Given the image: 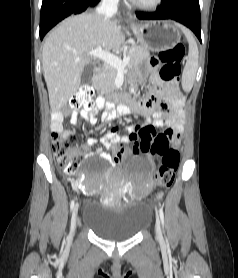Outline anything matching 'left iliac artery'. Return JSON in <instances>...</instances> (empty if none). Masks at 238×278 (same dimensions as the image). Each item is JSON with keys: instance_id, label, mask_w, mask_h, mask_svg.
Returning a JSON list of instances; mask_svg holds the SVG:
<instances>
[{"instance_id": "obj_1", "label": "left iliac artery", "mask_w": 238, "mask_h": 278, "mask_svg": "<svg viewBox=\"0 0 238 278\" xmlns=\"http://www.w3.org/2000/svg\"><path fill=\"white\" fill-rule=\"evenodd\" d=\"M159 215H160L162 226L164 227V213L162 207L159 209Z\"/></svg>"}]
</instances>
